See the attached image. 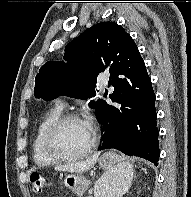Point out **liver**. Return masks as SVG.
<instances>
[{
  "label": "liver",
  "mask_w": 191,
  "mask_h": 197,
  "mask_svg": "<svg viewBox=\"0 0 191 197\" xmlns=\"http://www.w3.org/2000/svg\"><path fill=\"white\" fill-rule=\"evenodd\" d=\"M98 157H99V153H96L84 161L56 166L55 170L68 171L72 173H83L85 171L90 170L95 165L96 161L98 160Z\"/></svg>",
  "instance_id": "obj_1"
}]
</instances>
